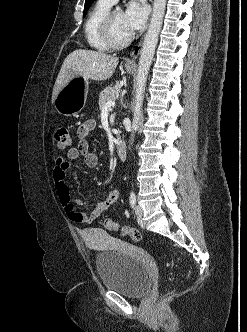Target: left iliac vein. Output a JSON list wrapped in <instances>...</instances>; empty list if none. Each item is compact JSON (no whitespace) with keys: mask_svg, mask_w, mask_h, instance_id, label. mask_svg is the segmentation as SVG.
<instances>
[{"mask_svg":"<svg viewBox=\"0 0 247 332\" xmlns=\"http://www.w3.org/2000/svg\"><path fill=\"white\" fill-rule=\"evenodd\" d=\"M135 214L137 216V219L141 221L143 217V208L140 205H136Z\"/></svg>","mask_w":247,"mask_h":332,"instance_id":"obj_1","label":"left iliac vein"}]
</instances>
